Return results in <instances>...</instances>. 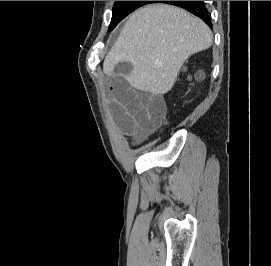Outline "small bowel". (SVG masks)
Instances as JSON below:
<instances>
[{"label": "small bowel", "mask_w": 271, "mask_h": 266, "mask_svg": "<svg viewBox=\"0 0 271 266\" xmlns=\"http://www.w3.org/2000/svg\"><path fill=\"white\" fill-rule=\"evenodd\" d=\"M111 71L109 105L121 129L136 142L144 140L165 118L161 95L144 93L132 85V67L119 63Z\"/></svg>", "instance_id": "small-bowel-1"}]
</instances>
